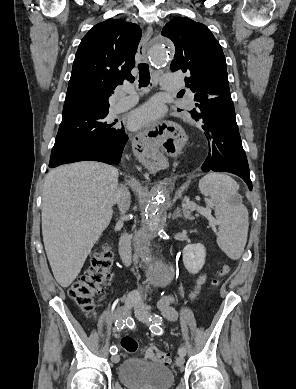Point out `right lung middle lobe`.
<instances>
[{
  "label": "right lung middle lobe",
  "instance_id": "dd1d6c3e",
  "mask_svg": "<svg viewBox=\"0 0 296 389\" xmlns=\"http://www.w3.org/2000/svg\"><path fill=\"white\" fill-rule=\"evenodd\" d=\"M108 112L76 113L62 117L52 153L118 137L122 129L107 123Z\"/></svg>",
  "mask_w": 296,
  "mask_h": 389
}]
</instances>
